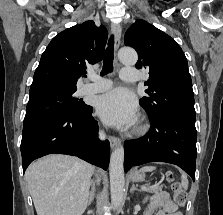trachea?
Returning <instances> with one entry per match:
<instances>
[{
    "instance_id": "obj_1",
    "label": "trachea",
    "mask_w": 223,
    "mask_h": 215,
    "mask_svg": "<svg viewBox=\"0 0 223 215\" xmlns=\"http://www.w3.org/2000/svg\"><path fill=\"white\" fill-rule=\"evenodd\" d=\"M113 52H114V35L112 34L109 41L108 47L105 51L103 60V69L101 75H106L113 70Z\"/></svg>"
}]
</instances>
